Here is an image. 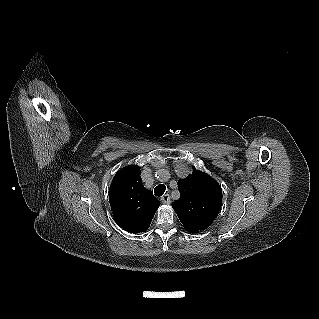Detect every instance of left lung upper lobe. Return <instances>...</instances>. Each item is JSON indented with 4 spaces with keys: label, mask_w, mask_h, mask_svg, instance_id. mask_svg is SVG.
<instances>
[{
    "label": "left lung upper lobe",
    "mask_w": 319,
    "mask_h": 319,
    "mask_svg": "<svg viewBox=\"0 0 319 319\" xmlns=\"http://www.w3.org/2000/svg\"><path fill=\"white\" fill-rule=\"evenodd\" d=\"M180 199L172 203L184 228L195 233L208 228L222 204L220 185L208 174L195 170L178 181Z\"/></svg>",
    "instance_id": "left-lung-upper-lobe-1"
}]
</instances>
